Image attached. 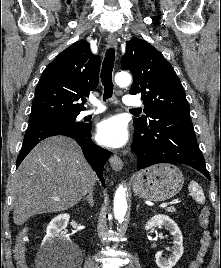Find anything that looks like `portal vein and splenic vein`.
Here are the masks:
<instances>
[{"label":"portal vein and splenic vein","instance_id":"obj_1","mask_svg":"<svg viewBox=\"0 0 221 268\" xmlns=\"http://www.w3.org/2000/svg\"><path fill=\"white\" fill-rule=\"evenodd\" d=\"M168 206V203H162L160 204V208H166Z\"/></svg>","mask_w":221,"mask_h":268}]
</instances>
